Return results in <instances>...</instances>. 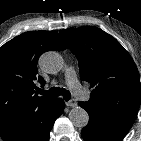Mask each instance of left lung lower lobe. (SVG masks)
Instances as JSON below:
<instances>
[{
  "label": "left lung lower lobe",
  "mask_w": 141,
  "mask_h": 141,
  "mask_svg": "<svg viewBox=\"0 0 141 141\" xmlns=\"http://www.w3.org/2000/svg\"><path fill=\"white\" fill-rule=\"evenodd\" d=\"M89 114V123L81 131L85 141H121L132 127L135 116H116L78 103Z\"/></svg>",
  "instance_id": "1"
}]
</instances>
